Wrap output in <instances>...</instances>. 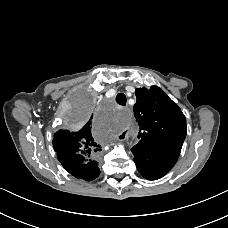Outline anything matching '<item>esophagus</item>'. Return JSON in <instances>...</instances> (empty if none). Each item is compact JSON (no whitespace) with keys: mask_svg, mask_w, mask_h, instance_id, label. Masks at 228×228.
Segmentation results:
<instances>
[{"mask_svg":"<svg viewBox=\"0 0 228 228\" xmlns=\"http://www.w3.org/2000/svg\"><path fill=\"white\" fill-rule=\"evenodd\" d=\"M127 136H128V133L126 131H122L117 135V139L119 141H124L127 138Z\"/></svg>","mask_w":228,"mask_h":228,"instance_id":"34e87169","label":"esophagus"}]
</instances>
